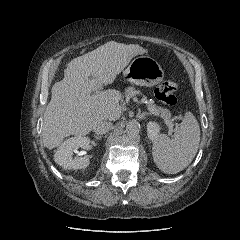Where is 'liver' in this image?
Wrapping results in <instances>:
<instances>
[{"label": "liver", "instance_id": "liver-1", "mask_svg": "<svg viewBox=\"0 0 240 240\" xmlns=\"http://www.w3.org/2000/svg\"><path fill=\"white\" fill-rule=\"evenodd\" d=\"M146 49L135 44L109 41L71 60L63 80L52 87V97L43 116L42 137L48 149L58 147L70 135H86L99 121H115L121 116L117 90L99 91Z\"/></svg>", "mask_w": 240, "mask_h": 240}]
</instances>
